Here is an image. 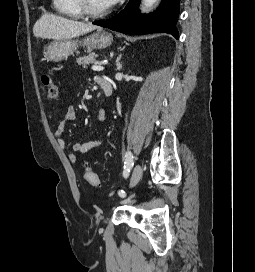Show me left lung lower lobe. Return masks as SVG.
I'll return each mask as SVG.
<instances>
[{
    "mask_svg": "<svg viewBox=\"0 0 255 272\" xmlns=\"http://www.w3.org/2000/svg\"><path fill=\"white\" fill-rule=\"evenodd\" d=\"M179 2L180 0H162L156 11L141 15L137 9L140 0H130L126 8L114 18L93 23L126 34L165 32L178 39L175 24L179 15Z\"/></svg>",
    "mask_w": 255,
    "mask_h": 272,
    "instance_id": "0a47b994",
    "label": "left lung lower lobe"
}]
</instances>
